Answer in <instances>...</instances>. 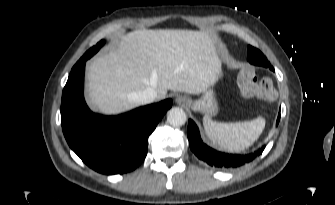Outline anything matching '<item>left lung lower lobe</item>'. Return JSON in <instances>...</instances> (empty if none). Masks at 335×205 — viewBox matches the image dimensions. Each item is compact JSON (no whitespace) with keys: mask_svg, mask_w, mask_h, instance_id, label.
I'll return each mask as SVG.
<instances>
[{"mask_svg":"<svg viewBox=\"0 0 335 205\" xmlns=\"http://www.w3.org/2000/svg\"><path fill=\"white\" fill-rule=\"evenodd\" d=\"M274 71V69H273ZM280 121V113L278 115L276 124L278 125ZM188 139L190 143V148L194 154L202 161L206 162L208 165L216 168H236L245 163L252 161L255 157L262 153L264 146L259 149L257 152H254L249 155H232L218 152L214 149H211L205 145L199 134L198 127L192 121H188Z\"/></svg>","mask_w":335,"mask_h":205,"instance_id":"left-lung-lower-lobe-1","label":"left lung lower lobe"}]
</instances>
